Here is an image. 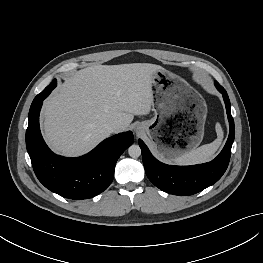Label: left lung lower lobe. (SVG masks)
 Listing matches in <instances>:
<instances>
[{
  "instance_id": "left-lung-lower-lobe-1",
  "label": "left lung lower lobe",
  "mask_w": 263,
  "mask_h": 263,
  "mask_svg": "<svg viewBox=\"0 0 263 263\" xmlns=\"http://www.w3.org/2000/svg\"><path fill=\"white\" fill-rule=\"evenodd\" d=\"M216 88L222 93L229 120L228 140L220 154L211 162L192 166H171L158 161L142 140H138L142 150L143 164L150 181L164 192L186 196L198 193L217 182L226 171L231 147L235 136L234 120L231 115L230 101L225 89L215 81Z\"/></svg>"
}]
</instances>
